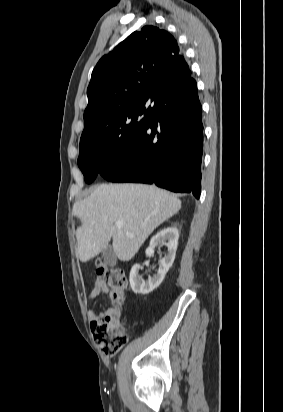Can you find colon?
<instances>
[{
    "label": "colon",
    "instance_id": "1",
    "mask_svg": "<svg viewBox=\"0 0 283 412\" xmlns=\"http://www.w3.org/2000/svg\"><path fill=\"white\" fill-rule=\"evenodd\" d=\"M99 274L110 290L111 299L114 303V311L91 323V332L95 343L103 353L112 357L126 344L128 337L120 322V309L125 301V288L127 278L124 272L118 268L104 265L102 259H97Z\"/></svg>",
    "mask_w": 283,
    "mask_h": 412
}]
</instances>
